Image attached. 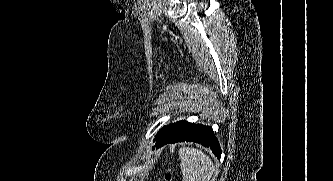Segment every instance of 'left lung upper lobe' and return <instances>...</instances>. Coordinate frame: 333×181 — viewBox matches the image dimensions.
Segmentation results:
<instances>
[{"instance_id": "1", "label": "left lung upper lobe", "mask_w": 333, "mask_h": 181, "mask_svg": "<svg viewBox=\"0 0 333 181\" xmlns=\"http://www.w3.org/2000/svg\"><path fill=\"white\" fill-rule=\"evenodd\" d=\"M190 124L191 123H188L186 121H179L177 123L165 126L156 135L155 140L169 142L172 139H174L175 137H177L179 134H181L186 128L189 127Z\"/></svg>"}]
</instances>
